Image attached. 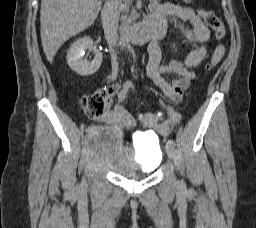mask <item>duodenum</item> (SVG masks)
Here are the masks:
<instances>
[{
  "mask_svg": "<svg viewBox=\"0 0 256 228\" xmlns=\"http://www.w3.org/2000/svg\"><path fill=\"white\" fill-rule=\"evenodd\" d=\"M103 18L101 19V22L103 21ZM161 35V31L157 26H154L149 21L145 20L127 31L121 37V44L123 46L127 44H143L150 39L160 38Z\"/></svg>",
  "mask_w": 256,
  "mask_h": 228,
  "instance_id": "1",
  "label": "duodenum"
}]
</instances>
